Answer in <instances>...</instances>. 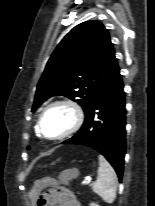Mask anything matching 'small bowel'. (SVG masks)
Wrapping results in <instances>:
<instances>
[{
    "instance_id": "obj_1",
    "label": "small bowel",
    "mask_w": 155,
    "mask_h": 206,
    "mask_svg": "<svg viewBox=\"0 0 155 206\" xmlns=\"http://www.w3.org/2000/svg\"><path fill=\"white\" fill-rule=\"evenodd\" d=\"M35 188H41L40 181H38ZM32 195H36L34 190ZM46 199V203L43 206H81L71 191L59 185L50 190V194L46 195Z\"/></svg>"
}]
</instances>
